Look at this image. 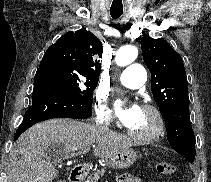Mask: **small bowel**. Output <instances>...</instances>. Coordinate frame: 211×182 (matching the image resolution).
Returning a JSON list of instances; mask_svg holds the SVG:
<instances>
[{
  "label": "small bowel",
  "instance_id": "1",
  "mask_svg": "<svg viewBox=\"0 0 211 182\" xmlns=\"http://www.w3.org/2000/svg\"><path fill=\"white\" fill-rule=\"evenodd\" d=\"M117 182H141V180L128 174H122L118 177Z\"/></svg>",
  "mask_w": 211,
  "mask_h": 182
}]
</instances>
